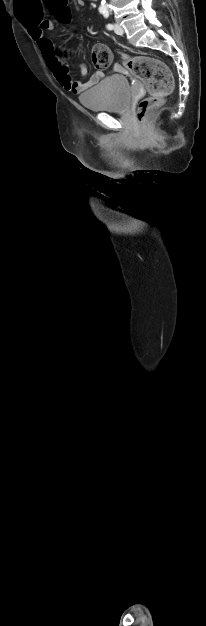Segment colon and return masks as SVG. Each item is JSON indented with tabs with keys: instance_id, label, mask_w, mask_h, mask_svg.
Wrapping results in <instances>:
<instances>
[{
	"instance_id": "obj_1",
	"label": "colon",
	"mask_w": 206,
	"mask_h": 626,
	"mask_svg": "<svg viewBox=\"0 0 206 626\" xmlns=\"http://www.w3.org/2000/svg\"><path fill=\"white\" fill-rule=\"evenodd\" d=\"M44 3L60 21L70 19L68 0H44ZM121 57L134 76L140 79L148 90L149 96L140 102L137 111L139 121L147 128V113L161 105L172 89L171 73L163 62L152 57L127 54H122ZM91 58L96 68L105 69L110 65L112 55L107 46L96 44L92 48Z\"/></svg>"
}]
</instances>
